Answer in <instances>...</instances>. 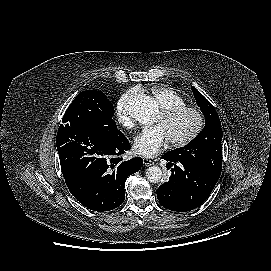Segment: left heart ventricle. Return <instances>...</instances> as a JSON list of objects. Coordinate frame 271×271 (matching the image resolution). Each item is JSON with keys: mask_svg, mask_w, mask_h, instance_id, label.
Instances as JSON below:
<instances>
[{"mask_svg": "<svg viewBox=\"0 0 271 271\" xmlns=\"http://www.w3.org/2000/svg\"><path fill=\"white\" fill-rule=\"evenodd\" d=\"M156 122L164 127L169 139L183 137L189 133L195 125V119L191 114H183L170 121L162 120L159 115Z\"/></svg>", "mask_w": 271, "mask_h": 271, "instance_id": "1", "label": "left heart ventricle"}]
</instances>
